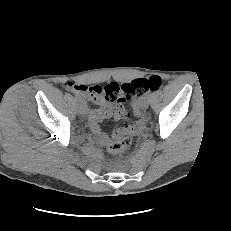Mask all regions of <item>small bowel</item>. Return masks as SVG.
<instances>
[{
  "label": "small bowel",
  "instance_id": "small-bowel-1",
  "mask_svg": "<svg viewBox=\"0 0 231 231\" xmlns=\"http://www.w3.org/2000/svg\"><path fill=\"white\" fill-rule=\"evenodd\" d=\"M112 85H117V83L112 82L105 87L88 86L73 82H67L64 84L67 90L84 96L91 103L96 105V108L89 112V123L98 141L103 145H107L111 141V138L107 133L101 130L100 123L108 118L119 121L130 117V113H128L124 107L127 100L122 97L114 100L110 97L109 87ZM137 128L138 125L118 128L113 131L112 138L116 140L125 134L135 132Z\"/></svg>",
  "mask_w": 231,
  "mask_h": 231
}]
</instances>
